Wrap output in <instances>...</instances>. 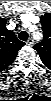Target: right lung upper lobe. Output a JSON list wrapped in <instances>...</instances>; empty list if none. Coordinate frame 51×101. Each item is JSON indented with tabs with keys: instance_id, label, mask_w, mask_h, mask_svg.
<instances>
[{
	"instance_id": "right-lung-upper-lobe-1",
	"label": "right lung upper lobe",
	"mask_w": 51,
	"mask_h": 101,
	"mask_svg": "<svg viewBox=\"0 0 51 101\" xmlns=\"http://www.w3.org/2000/svg\"><path fill=\"white\" fill-rule=\"evenodd\" d=\"M5 24L6 21L0 18V71L5 70L14 61L18 50L25 45Z\"/></svg>"
}]
</instances>
